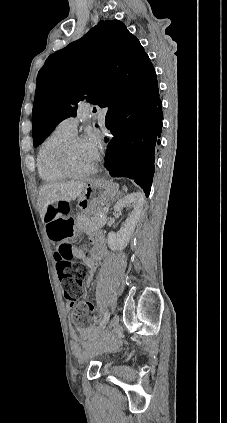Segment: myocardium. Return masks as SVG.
I'll return each mask as SVG.
<instances>
[{"label":"myocardium","instance_id":"1","mask_svg":"<svg viewBox=\"0 0 227 423\" xmlns=\"http://www.w3.org/2000/svg\"><path fill=\"white\" fill-rule=\"evenodd\" d=\"M85 142V139L80 136H72L63 142L56 151V163L61 172L68 178H83L91 175L96 171V164L94 163L89 169L83 172H76L71 168L69 162V155L72 147L77 144Z\"/></svg>","mask_w":227,"mask_h":423}]
</instances>
